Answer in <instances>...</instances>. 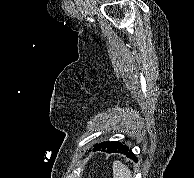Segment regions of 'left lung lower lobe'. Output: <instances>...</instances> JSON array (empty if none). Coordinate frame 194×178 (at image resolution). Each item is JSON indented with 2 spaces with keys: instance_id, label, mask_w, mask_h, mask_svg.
<instances>
[{
  "instance_id": "1",
  "label": "left lung lower lobe",
  "mask_w": 194,
  "mask_h": 178,
  "mask_svg": "<svg viewBox=\"0 0 194 178\" xmlns=\"http://www.w3.org/2000/svg\"><path fill=\"white\" fill-rule=\"evenodd\" d=\"M93 151H103L107 153H121V154L126 155L128 158H131L137 161V158L132 153L131 149H129V147L119 142L107 141V142H103L100 144H96L94 145Z\"/></svg>"
}]
</instances>
